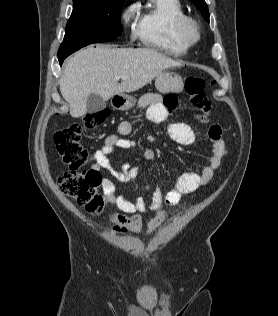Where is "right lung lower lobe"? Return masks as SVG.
<instances>
[{
	"label": "right lung lower lobe",
	"instance_id": "98d812e1",
	"mask_svg": "<svg viewBox=\"0 0 278 316\" xmlns=\"http://www.w3.org/2000/svg\"><path fill=\"white\" fill-rule=\"evenodd\" d=\"M64 59H65V58H59V63H60V65H62Z\"/></svg>",
	"mask_w": 278,
	"mask_h": 316
}]
</instances>
